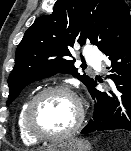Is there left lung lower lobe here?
<instances>
[{
    "label": "left lung lower lobe",
    "mask_w": 131,
    "mask_h": 151,
    "mask_svg": "<svg viewBox=\"0 0 131 151\" xmlns=\"http://www.w3.org/2000/svg\"><path fill=\"white\" fill-rule=\"evenodd\" d=\"M111 60L109 77L115 87L109 92L96 89L94 81L89 89L96 98L93 118L81 131L87 134L94 131L123 130L131 131V36L105 52Z\"/></svg>",
    "instance_id": "1"
}]
</instances>
